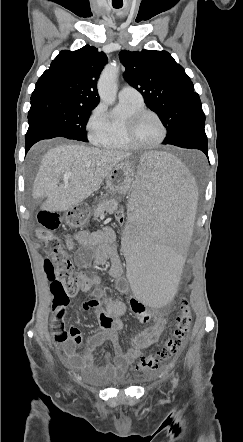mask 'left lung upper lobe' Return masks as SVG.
Listing matches in <instances>:
<instances>
[{
  "mask_svg": "<svg viewBox=\"0 0 243 442\" xmlns=\"http://www.w3.org/2000/svg\"><path fill=\"white\" fill-rule=\"evenodd\" d=\"M125 79L144 97L167 129L163 144L179 136L191 124L205 121L199 95L182 66L167 51L122 50Z\"/></svg>",
  "mask_w": 243,
  "mask_h": 442,
  "instance_id": "1",
  "label": "left lung upper lobe"
}]
</instances>
